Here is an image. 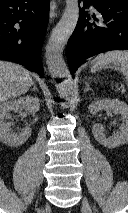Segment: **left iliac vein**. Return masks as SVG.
I'll list each match as a JSON object with an SVG mask.
<instances>
[{"label":"left iliac vein","mask_w":128,"mask_h":213,"mask_svg":"<svg viewBox=\"0 0 128 213\" xmlns=\"http://www.w3.org/2000/svg\"><path fill=\"white\" fill-rule=\"evenodd\" d=\"M82 207L86 213H92V208L85 198L82 199Z\"/></svg>","instance_id":"4c4485c4"}]
</instances>
